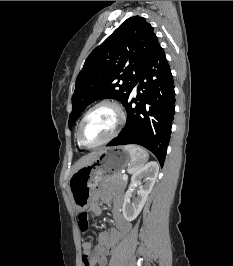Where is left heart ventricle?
<instances>
[{"label": "left heart ventricle", "mask_w": 233, "mask_h": 266, "mask_svg": "<svg viewBox=\"0 0 233 266\" xmlns=\"http://www.w3.org/2000/svg\"><path fill=\"white\" fill-rule=\"evenodd\" d=\"M117 121L116 111L102 106L93 111L83 124L82 141L87 145L96 144L110 135Z\"/></svg>", "instance_id": "obj_1"}]
</instances>
